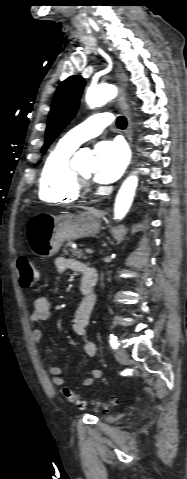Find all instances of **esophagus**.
<instances>
[{
  "instance_id": "34e87169",
  "label": "esophagus",
  "mask_w": 187,
  "mask_h": 479,
  "mask_svg": "<svg viewBox=\"0 0 187 479\" xmlns=\"http://www.w3.org/2000/svg\"><path fill=\"white\" fill-rule=\"evenodd\" d=\"M115 72H116V77L118 78L120 90H121L119 94V105L127 117L128 125L126 128V137L128 139L129 145L132 150L133 149V138H132L133 132H132L131 112L125 98L126 76L122 72L121 67L119 65H116Z\"/></svg>"
}]
</instances>
